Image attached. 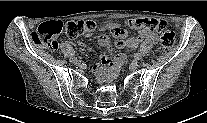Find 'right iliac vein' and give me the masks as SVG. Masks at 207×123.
<instances>
[{"label": "right iliac vein", "instance_id": "obj_1", "mask_svg": "<svg viewBox=\"0 0 207 123\" xmlns=\"http://www.w3.org/2000/svg\"><path fill=\"white\" fill-rule=\"evenodd\" d=\"M73 63H74L75 65H80V64H81V62H80L79 60H75Z\"/></svg>", "mask_w": 207, "mask_h": 123}]
</instances>
